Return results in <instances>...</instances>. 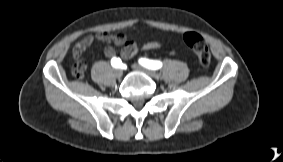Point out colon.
Returning <instances> with one entry per match:
<instances>
[{"label":"colon","mask_w":283,"mask_h":162,"mask_svg":"<svg viewBox=\"0 0 283 162\" xmlns=\"http://www.w3.org/2000/svg\"><path fill=\"white\" fill-rule=\"evenodd\" d=\"M183 42L193 50L202 66L206 67L210 64L211 54L209 47L200 34L196 32H186L183 35ZM72 72L77 78H81L84 74V70L79 64L75 65Z\"/></svg>","instance_id":"obj_1"}]
</instances>
